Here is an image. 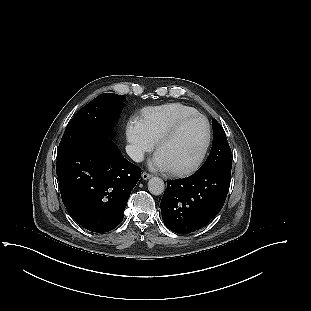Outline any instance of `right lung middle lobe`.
<instances>
[{
	"label": "right lung middle lobe",
	"mask_w": 311,
	"mask_h": 311,
	"mask_svg": "<svg viewBox=\"0 0 311 311\" xmlns=\"http://www.w3.org/2000/svg\"><path fill=\"white\" fill-rule=\"evenodd\" d=\"M124 100V95L104 93L85 105L68 124L57 156L84 140L111 137V127L125 106Z\"/></svg>",
	"instance_id": "right-lung-middle-lobe-1"
}]
</instances>
